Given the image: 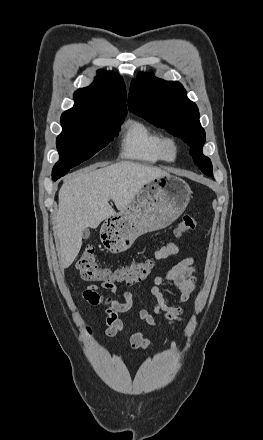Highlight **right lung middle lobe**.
<instances>
[{
	"instance_id": "right-lung-middle-lobe-1",
	"label": "right lung middle lobe",
	"mask_w": 263,
	"mask_h": 440,
	"mask_svg": "<svg viewBox=\"0 0 263 440\" xmlns=\"http://www.w3.org/2000/svg\"><path fill=\"white\" fill-rule=\"evenodd\" d=\"M125 116L98 115L80 123H61L63 131L56 142L60 160L53 167L52 179L64 176L111 142Z\"/></svg>"
}]
</instances>
